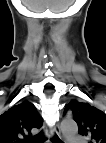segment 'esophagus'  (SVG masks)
<instances>
[{"label":"esophagus","instance_id":"esophagus-1","mask_svg":"<svg viewBox=\"0 0 106 143\" xmlns=\"http://www.w3.org/2000/svg\"><path fill=\"white\" fill-rule=\"evenodd\" d=\"M56 137L59 139L58 143H65L59 125H56L53 129H50V132L48 134V139L50 140H55Z\"/></svg>","mask_w":106,"mask_h":143}]
</instances>
